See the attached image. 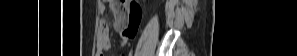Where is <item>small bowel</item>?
<instances>
[{"label":"small bowel","instance_id":"c3829d8e","mask_svg":"<svg viewBox=\"0 0 297 56\" xmlns=\"http://www.w3.org/2000/svg\"><path fill=\"white\" fill-rule=\"evenodd\" d=\"M106 3L113 12V26L120 34L122 41L126 42L133 38L137 33L141 20V9L139 5L136 2H121L116 0H107ZM101 10L104 11L103 6ZM110 47L109 25L107 21L102 20L97 38L96 56H104Z\"/></svg>","mask_w":297,"mask_h":56}]
</instances>
